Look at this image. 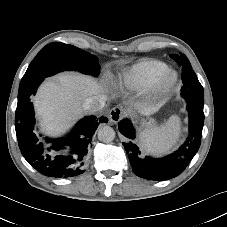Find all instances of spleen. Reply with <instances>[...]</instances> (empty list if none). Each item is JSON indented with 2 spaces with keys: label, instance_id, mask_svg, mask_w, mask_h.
<instances>
[{
  "label": "spleen",
  "instance_id": "obj_1",
  "mask_svg": "<svg viewBox=\"0 0 227 227\" xmlns=\"http://www.w3.org/2000/svg\"><path fill=\"white\" fill-rule=\"evenodd\" d=\"M180 133V118L173 115L160 127L141 133L140 139L147 152L153 155H162L168 153L175 146Z\"/></svg>",
  "mask_w": 227,
  "mask_h": 227
}]
</instances>
